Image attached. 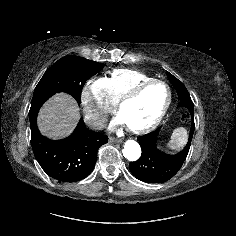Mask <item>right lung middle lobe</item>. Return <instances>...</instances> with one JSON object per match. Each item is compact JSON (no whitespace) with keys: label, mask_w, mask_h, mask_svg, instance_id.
Here are the masks:
<instances>
[{"label":"right lung middle lobe","mask_w":236,"mask_h":236,"mask_svg":"<svg viewBox=\"0 0 236 236\" xmlns=\"http://www.w3.org/2000/svg\"><path fill=\"white\" fill-rule=\"evenodd\" d=\"M103 64L78 56H64L55 62L37 84L30 112L39 110L43 103L59 92L72 95L80 104L81 91L85 82L98 73Z\"/></svg>","instance_id":"dd1d6c3e"}]
</instances>
